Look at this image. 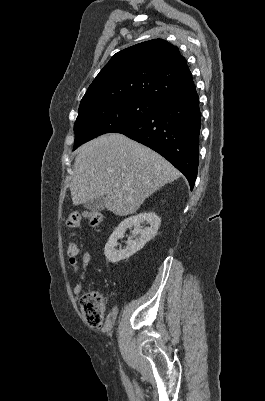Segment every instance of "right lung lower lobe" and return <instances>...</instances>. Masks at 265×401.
I'll return each instance as SVG.
<instances>
[{
  "mask_svg": "<svg viewBox=\"0 0 265 401\" xmlns=\"http://www.w3.org/2000/svg\"><path fill=\"white\" fill-rule=\"evenodd\" d=\"M201 113L195 86L188 92L159 102L156 111L114 133H121L158 152L189 181L197 177Z\"/></svg>",
  "mask_w": 265,
  "mask_h": 401,
  "instance_id": "98d812e1",
  "label": "right lung lower lobe"
}]
</instances>
